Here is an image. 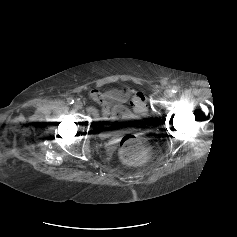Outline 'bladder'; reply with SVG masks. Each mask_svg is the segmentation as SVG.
<instances>
[{"mask_svg": "<svg viewBox=\"0 0 237 237\" xmlns=\"http://www.w3.org/2000/svg\"><path fill=\"white\" fill-rule=\"evenodd\" d=\"M131 121H120L118 120L117 122H115L112 126H110L108 128V132L109 133H114L115 131H117L120 127H122L125 124H129ZM125 161V160H124Z\"/></svg>", "mask_w": 237, "mask_h": 237, "instance_id": "bladder-1", "label": "bladder"}]
</instances>
